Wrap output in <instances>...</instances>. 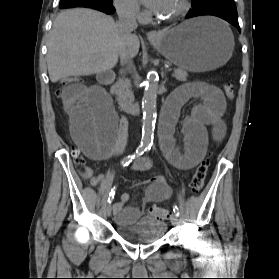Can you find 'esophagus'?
Here are the masks:
<instances>
[{"mask_svg": "<svg viewBox=\"0 0 279 279\" xmlns=\"http://www.w3.org/2000/svg\"><path fill=\"white\" fill-rule=\"evenodd\" d=\"M160 37V33L158 31L152 30L147 33V38L149 40H155Z\"/></svg>", "mask_w": 279, "mask_h": 279, "instance_id": "34e87169", "label": "esophagus"}]
</instances>
